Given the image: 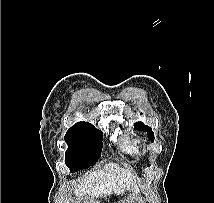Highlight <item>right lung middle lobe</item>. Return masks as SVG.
<instances>
[{"instance_id": "obj_1", "label": "right lung middle lobe", "mask_w": 214, "mask_h": 203, "mask_svg": "<svg viewBox=\"0 0 214 203\" xmlns=\"http://www.w3.org/2000/svg\"><path fill=\"white\" fill-rule=\"evenodd\" d=\"M102 132L88 122H78L65 135V163L71 172L94 165L102 152Z\"/></svg>"}]
</instances>
